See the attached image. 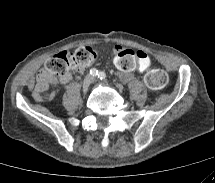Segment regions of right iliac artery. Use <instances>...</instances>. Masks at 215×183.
<instances>
[{
	"label": "right iliac artery",
	"mask_w": 215,
	"mask_h": 183,
	"mask_svg": "<svg viewBox=\"0 0 215 183\" xmlns=\"http://www.w3.org/2000/svg\"><path fill=\"white\" fill-rule=\"evenodd\" d=\"M98 70L96 69V68H92L91 70H90V74L92 75V76H96V75H98Z\"/></svg>",
	"instance_id": "82829eb1"
}]
</instances>
